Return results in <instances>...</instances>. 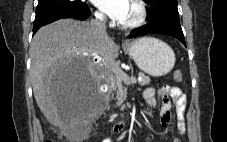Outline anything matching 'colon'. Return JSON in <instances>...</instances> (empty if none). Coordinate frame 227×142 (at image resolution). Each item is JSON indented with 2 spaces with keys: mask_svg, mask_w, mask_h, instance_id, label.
Wrapping results in <instances>:
<instances>
[{
  "mask_svg": "<svg viewBox=\"0 0 227 142\" xmlns=\"http://www.w3.org/2000/svg\"><path fill=\"white\" fill-rule=\"evenodd\" d=\"M174 78L175 80L180 81L182 79V74L180 72H176L174 74ZM47 142H53V141H47Z\"/></svg>",
  "mask_w": 227,
  "mask_h": 142,
  "instance_id": "5ec220e1",
  "label": "colon"
}]
</instances>
